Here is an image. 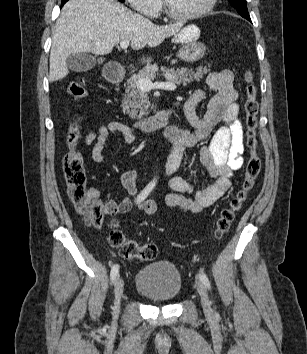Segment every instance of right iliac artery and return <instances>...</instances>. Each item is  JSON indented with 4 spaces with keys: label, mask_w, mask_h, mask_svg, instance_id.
<instances>
[{
    "label": "right iliac artery",
    "mask_w": 307,
    "mask_h": 354,
    "mask_svg": "<svg viewBox=\"0 0 307 354\" xmlns=\"http://www.w3.org/2000/svg\"><path fill=\"white\" fill-rule=\"evenodd\" d=\"M154 185L153 184H148L142 191L141 193L138 195L137 197V202H141L143 201L149 194L150 192L153 190ZM119 275V265L115 264L113 265L111 272H110V279L111 282L114 283L116 278Z\"/></svg>",
    "instance_id": "right-iliac-artery-1"
}]
</instances>
